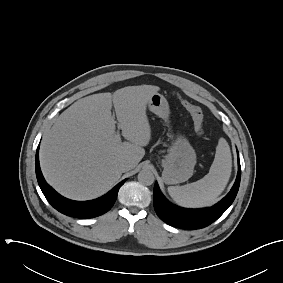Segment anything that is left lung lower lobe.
Listing matches in <instances>:
<instances>
[{
  "label": "left lung lower lobe",
  "mask_w": 283,
  "mask_h": 283,
  "mask_svg": "<svg viewBox=\"0 0 283 283\" xmlns=\"http://www.w3.org/2000/svg\"><path fill=\"white\" fill-rule=\"evenodd\" d=\"M240 178L241 167L238 157V174L231 191L213 207L203 209H186L173 205L162 195L157 183H155L154 209L162 221L173 227L181 229L204 228L217 220L232 204L239 189Z\"/></svg>",
  "instance_id": "left-lung-lower-lobe-1"
}]
</instances>
